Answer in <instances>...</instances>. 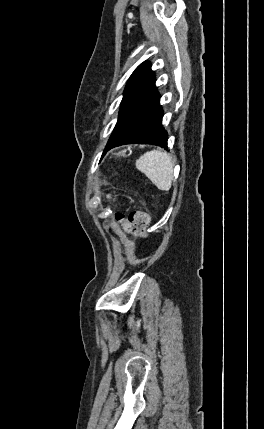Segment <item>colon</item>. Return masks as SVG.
<instances>
[{
	"label": "colon",
	"mask_w": 264,
	"mask_h": 429,
	"mask_svg": "<svg viewBox=\"0 0 264 429\" xmlns=\"http://www.w3.org/2000/svg\"><path fill=\"white\" fill-rule=\"evenodd\" d=\"M116 220L120 223H126L127 227L136 235H144L145 229L149 224L150 217L148 213L142 210L131 212L127 218L123 214H117Z\"/></svg>",
	"instance_id": "5ec220e1"
}]
</instances>
